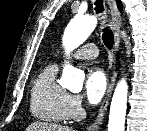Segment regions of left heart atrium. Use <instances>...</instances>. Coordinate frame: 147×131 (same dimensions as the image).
<instances>
[{
    "label": "left heart atrium",
    "instance_id": "1",
    "mask_svg": "<svg viewBox=\"0 0 147 131\" xmlns=\"http://www.w3.org/2000/svg\"><path fill=\"white\" fill-rule=\"evenodd\" d=\"M107 88V78L100 68L91 69L85 80V94L91 104H97L103 98Z\"/></svg>",
    "mask_w": 147,
    "mask_h": 131
}]
</instances>
